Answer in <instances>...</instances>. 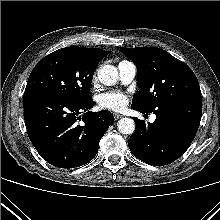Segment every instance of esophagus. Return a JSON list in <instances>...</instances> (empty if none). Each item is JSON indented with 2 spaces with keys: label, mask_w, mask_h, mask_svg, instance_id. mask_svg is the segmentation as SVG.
<instances>
[{
  "label": "esophagus",
  "mask_w": 220,
  "mask_h": 220,
  "mask_svg": "<svg viewBox=\"0 0 220 220\" xmlns=\"http://www.w3.org/2000/svg\"><path fill=\"white\" fill-rule=\"evenodd\" d=\"M121 117H122L121 114H119V113H114V119H115V120H118V119H120Z\"/></svg>",
  "instance_id": "obj_1"
}]
</instances>
